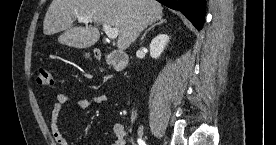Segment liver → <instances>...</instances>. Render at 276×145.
Returning <instances> with one entry per match:
<instances>
[{
	"label": "liver",
	"mask_w": 276,
	"mask_h": 145,
	"mask_svg": "<svg viewBox=\"0 0 276 145\" xmlns=\"http://www.w3.org/2000/svg\"><path fill=\"white\" fill-rule=\"evenodd\" d=\"M79 16H91L95 25L74 27ZM162 16L163 7L155 0H52L44 17L43 33L63 32L59 43L82 49L99 40L98 24L103 23L118 29L117 47L124 51Z\"/></svg>",
	"instance_id": "liver-1"
}]
</instances>
